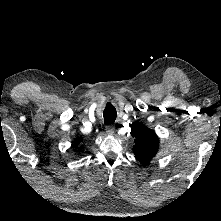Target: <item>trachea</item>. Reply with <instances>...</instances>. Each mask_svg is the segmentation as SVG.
Masks as SVG:
<instances>
[{"label": "trachea", "mask_w": 221, "mask_h": 221, "mask_svg": "<svg viewBox=\"0 0 221 221\" xmlns=\"http://www.w3.org/2000/svg\"><path fill=\"white\" fill-rule=\"evenodd\" d=\"M103 116L105 124L114 123L117 116L116 109L112 105H108L104 110Z\"/></svg>", "instance_id": "1"}]
</instances>
